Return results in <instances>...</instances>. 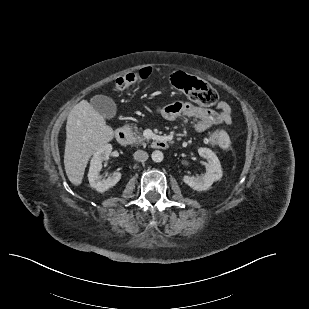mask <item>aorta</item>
<instances>
[{"label":"aorta","mask_w":309,"mask_h":309,"mask_svg":"<svg viewBox=\"0 0 309 309\" xmlns=\"http://www.w3.org/2000/svg\"><path fill=\"white\" fill-rule=\"evenodd\" d=\"M151 157H152V160L156 163L161 162L164 158L163 153L159 150L153 151Z\"/></svg>","instance_id":"obj_1"}]
</instances>
